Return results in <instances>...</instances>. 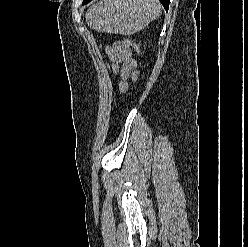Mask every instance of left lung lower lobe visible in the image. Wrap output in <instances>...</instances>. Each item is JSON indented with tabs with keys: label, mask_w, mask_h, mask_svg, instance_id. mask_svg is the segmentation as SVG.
Listing matches in <instances>:
<instances>
[{
	"label": "left lung lower lobe",
	"mask_w": 248,
	"mask_h": 247,
	"mask_svg": "<svg viewBox=\"0 0 248 247\" xmlns=\"http://www.w3.org/2000/svg\"><path fill=\"white\" fill-rule=\"evenodd\" d=\"M90 1L91 0H83L82 4L85 5V4L89 3ZM159 1L162 3V5L164 6V8L166 10H168L170 0H159Z\"/></svg>",
	"instance_id": "1"
}]
</instances>
